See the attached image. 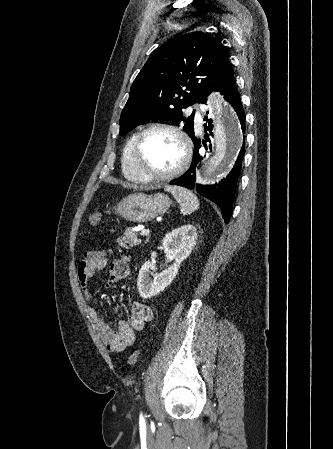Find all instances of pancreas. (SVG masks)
<instances>
[{"label":"pancreas","mask_w":333,"mask_h":449,"mask_svg":"<svg viewBox=\"0 0 333 449\" xmlns=\"http://www.w3.org/2000/svg\"><path fill=\"white\" fill-rule=\"evenodd\" d=\"M118 244L125 248L130 249L133 246L139 245L141 240L137 238V234L131 230V228H126L124 235L117 239Z\"/></svg>","instance_id":"cf45deb5"}]
</instances>
